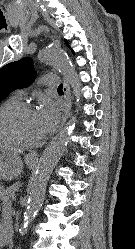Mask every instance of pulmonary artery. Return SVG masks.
<instances>
[{
	"label": "pulmonary artery",
	"mask_w": 135,
	"mask_h": 249,
	"mask_svg": "<svg viewBox=\"0 0 135 249\" xmlns=\"http://www.w3.org/2000/svg\"><path fill=\"white\" fill-rule=\"evenodd\" d=\"M42 84L48 88L57 87L59 84V78L52 74H45L42 76ZM25 90H18L16 96L22 98L25 95Z\"/></svg>",
	"instance_id": "pulmonary-artery-1"
}]
</instances>
